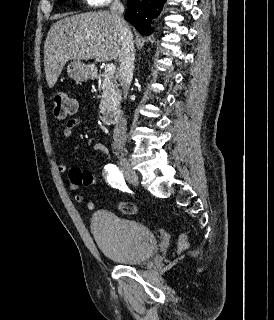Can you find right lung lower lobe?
<instances>
[{"mask_svg":"<svg viewBox=\"0 0 274 320\" xmlns=\"http://www.w3.org/2000/svg\"><path fill=\"white\" fill-rule=\"evenodd\" d=\"M166 0H127L125 20L132 24L141 34H150L151 22L162 10Z\"/></svg>","mask_w":274,"mask_h":320,"instance_id":"obj_1","label":"right lung lower lobe"}]
</instances>
